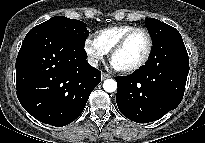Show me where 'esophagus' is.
<instances>
[{
  "label": "esophagus",
  "instance_id": "obj_1",
  "mask_svg": "<svg viewBox=\"0 0 205 143\" xmlns=\"http://www.w3.org/2000/svg\"><path fill=\"white\" fill-rule=\"evenodd\" d=\"M109 77H110V75L107 74V73H105V72H103V73L101 74L102 80H105V79H107V78H109Z\"/></svg>",
  "mask_w": 205,
  "mask_h": 143
}]
</instances>
